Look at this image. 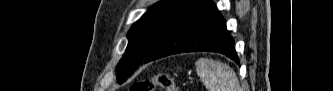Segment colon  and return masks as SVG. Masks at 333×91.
Returning a JSON list of instances; mask_svg holds the SVG:
<instances>
[{
    "label": "colon",
    "mask_w": 333,
    "mask_h": 91,
    "mask_svg": "<svg viewBox=\"0 0 333 91\" xmlns=\"http://www.w3.org/2000/svg\"><path fill=\"white\" fill-rule=\"evenodd\" d=\"M156 87H159L164 91L179 90L178 86L170 75L166 73H160L152 78L134 83L131 86L130 91H154Z\"/></svg>",
    "instance_id": "5ec220e1"
}]
</instances>
